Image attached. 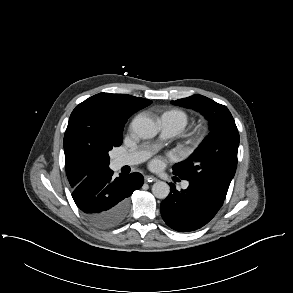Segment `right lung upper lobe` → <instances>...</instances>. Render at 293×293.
Wrapping results in <instances>:
<instances>
[{"instance_id":"obj_1","label":"right lung upper lobe","mask_w":293,"mask_h":293,"mask_svg":"<svg viewBox=\"0 0 293 293\" xmlns=\"http://www.w3.org/2000/svg\"><path fill=\"white\" fill-rule=\"evenodd\" d=\"M151 100L127 94L99 93L80 103L72 112L64 136L65 167L70 185L73 187L86 175V170L77 157L78 132L83 118V107L92 105L101 115L127 122L138 110L150 105Z\"/></svg>"}]
</instances>
